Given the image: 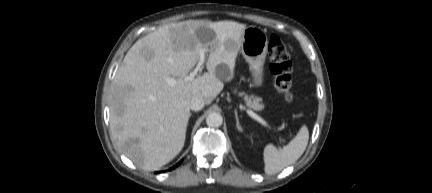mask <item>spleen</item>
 <instances>
[{
  "label": "spleen",
  "mask_w": 432,
  "mask_h": 193,
  "mask_svg": "<svg viewBox=\"0 0 432 193\" xmlns=\"http://www.w3.org/2000/svg\"><path fill=\"white\" fill-rule=\"evenodd\" d=\"M309 140L308 128L304 125L290 143L282 149L268 144L264 149V171L276 174L295 163L304 153Z\"/></svg>",
  "instance_id": "3e777b00"
}]
</instances>
